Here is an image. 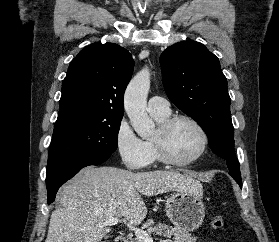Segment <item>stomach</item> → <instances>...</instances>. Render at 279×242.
Listing matches in <instances>:
<instances>
[{
    "mask_svg": "<svg viewBox=\"0 0 279 242\" xmlns=\"http://www.w3.org/2000/svg\"><path fill=\"white\" fill-rule=\"evenodd\" d=\"M200 191H175L166 199L165 210L172 224L181 230L198 229L205 217V206Z\"/></svg>",
    "mask_w": 279,
    "mask_h": 242,
    "instance_id": "1",
    "label": "stomach"
}]
</instances>
